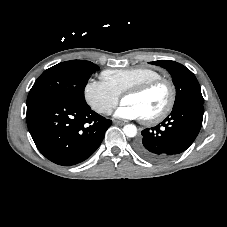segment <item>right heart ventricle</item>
<instances>
[{
	"instance_id": "1",
	"label": "right heart ventricle",
	"mask_w": 227,
	"mask_h": 227,
	"mask_svg": "<svg viewBox=\"0 0 227 227\" xmlns=\"http://www.w3.org/2000/svg\"><path fill=\"white\" fill-rule=\"evenodd\" d=\"M101 77L103 82L121 95L130 88L162 76L155 69L137 66L120 70H105L101 73Z\"/></svg>"
}]
</instances>
